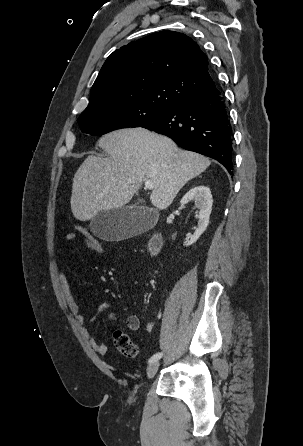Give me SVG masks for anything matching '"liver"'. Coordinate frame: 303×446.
Masks as SVG:
<instances>
[{"label":"liver","mask_w":303,"mask_h":446,"mask_svg":"<svg viewBox=\"0 0 303 446\" xmlns=\"http://www.w3.org/2000/svg\"><path fill=\"white\" fill-rule=\"evenodd\" d=\"M98 144L108 157L89 155L73 178L71 210L80 221L123 207L146 180L153 182L152 205L164 210L179 190L211 163L203 155L181 150L170 138L141 127L113 131L102 136Z\"/></svg>","instance_id":"obj_1"}]
</instances>
